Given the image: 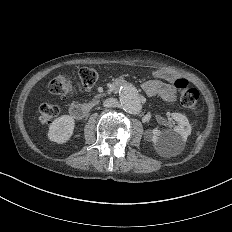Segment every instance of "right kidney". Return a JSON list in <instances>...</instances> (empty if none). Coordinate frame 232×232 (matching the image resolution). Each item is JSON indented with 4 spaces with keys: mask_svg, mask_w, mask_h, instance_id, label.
I'll use <instances>...</instances> for the list:
<instances>
[{
    "mask_svg": "<svg viewBox=\"0 0 232 232\" xmlns=\"http://www.w3.org/2000/svg\"><path fill=\"white\" fill-rule=\"evenodd\" d=\"M73 129L74 120L70 116H62L52 122L48 136L52 141L62 143L70 138Z\"/></svg>",
    "mask_w": 232,
    "mask_h": 232,
    "instance_id": "ca27d5eb",
    "label": "right kidney"
}]
</instances>
